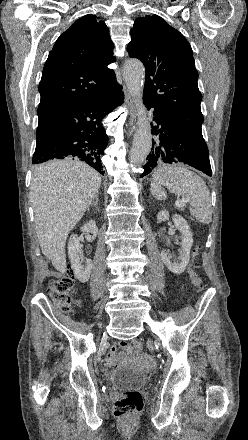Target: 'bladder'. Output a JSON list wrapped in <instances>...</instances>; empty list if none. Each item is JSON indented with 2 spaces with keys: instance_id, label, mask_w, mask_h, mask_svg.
Wrapping results in <instances>:
<instances>
[{
  "instance_id": "31cf9c89",
  "label": "bladder",
  "mask_w": 248,
  "mask_h": 440,
  "mask_svg": "<svg viewBox=\"0 0 248 440\" xmlns=\"http://www.w3.org/2000/svg\"><path fill=\"white\" fill-rule=\"evenodd\" d=\"M107 375H108L109 378L114 379V378H116L118 375H119V376L130 377V376H133V373H131V372H129V371H122V372H120V373H111V372H109Z\"/></svg>"
}]
</instances>
